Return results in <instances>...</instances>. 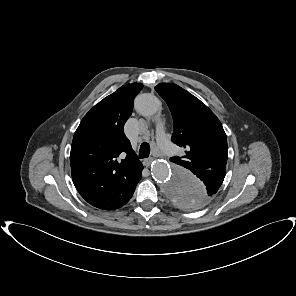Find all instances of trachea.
Instances as JSON below:
<instances>
[{
  "instance_id": "3493384b",
  "label": "trachea",
  "mask_w": 296,
  "mask_h": 296,
  "mask_svg": "<svg viewBox=\"0 0 296 296\" xmlns=\"http://www.w3.org/2000/svg\"><path fill=\"white\" fill-rule=\"evenodd\" d=\"M150 155V145L147 142H144L140 145L139 149V158H148Z\"/></svg>"
}]
</instances>
